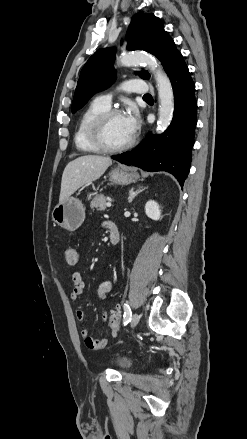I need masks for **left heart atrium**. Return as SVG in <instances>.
<instances>
[{
  "label": "left heart atrium",
  "mask_w": 247,
  "mask_h": 439,
  "mask_svg": "<svg viewBox=\"0 0 247 439\" xmlns=\"http://www.w3.org/2000/svg\"><path fill=\"white\" fill-rule=\"evenodd\" d=\"M124 120L127 126V129L131 136H133L139 128V116L135 109H130L129 112L124 115Z\"/></svg>",
  "instance_id": "1"
}]
</instances>
